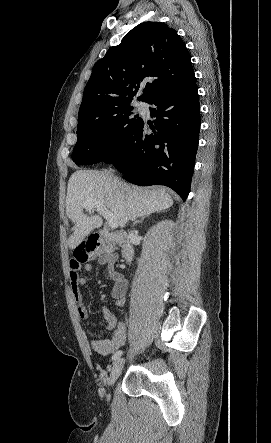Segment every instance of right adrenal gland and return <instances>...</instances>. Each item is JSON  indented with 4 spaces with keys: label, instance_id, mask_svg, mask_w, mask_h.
Segmentation results:
<instances>
[{
    "label": "right adrenal gland",
    "instance_id": "right-adrenal-gland-1",
    "mask_svg": "<svg viewBox=\"0 0 271 443\" xmlns=\"http://www.w3.org/2000/svg\"><path fill=\"white\" fill-rule=\"evenodd\" d=\"M150 216V214H148ZM148 216H140V220H136V222H133V225H137V223H142L145 218H148Z\"/></svg>",
    "mask_w": 271,
    "mask_h": 443
}]
</instances>
